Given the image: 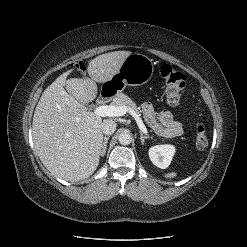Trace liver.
I'll return each instance as SVG.
<instances>
[{"label":"liver","instance_id":"6515ba94","mask_svg":"<svg viewBox=\"0 0 247 247\" xmlns=\"http://www.w3.org/2000/svg\"><path fill=\"white\" fill-rule=\"evenodd\" d=\"M130 51H114L94 58L88 65L90 78L60 75L43 92L34 112L32 135L43 165L52 175L79 181L91 176L99 165L103 134L101 116L84 106L97 96V83L116 74Z\"/></svg>","mask_w":247,"mask_h":247}]
</instances>
